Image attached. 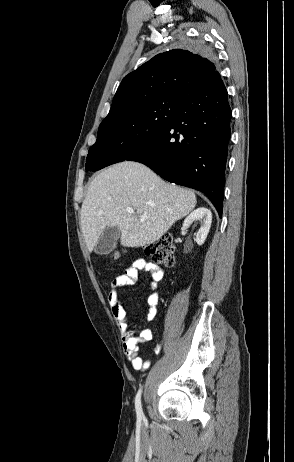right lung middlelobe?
I'll return each mask as SVG.
<instances>
[{"mask_svg": "<svg viewBox=\"0 0 294 462\" xmlns=\"http://www.w3.org/2000/svg\"><path fill=\"white\" fill-rule=\"evenodd\" d=\"M194 52L212 55L202 40L187 41ZM180 94H168L135 103L109 113L99 126L96 143L88 156L98 155L104 166L126 160L139 146L160 133L184 102Z\"/></svg>", "mask_w": 294, "mask_h": 462, "instance_id": "obj_1", "label": "right lung middle lobe"}]
</instances>
